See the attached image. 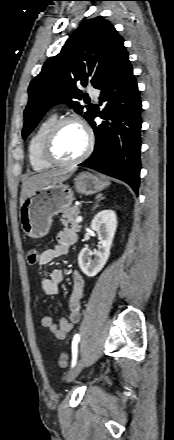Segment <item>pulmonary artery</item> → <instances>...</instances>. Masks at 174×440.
<instances>
[{
    "label": "pulmonary artery",
    "mask_w": 174,
    "mask_h": 440,
    "mask_svg": "<svg viewBox=\"0 0 174 440\" xmlns=\"http://www.w3.org/2000/svg\"><path fill=\"white\" fill-rule=\"evenodd\" d=\"M88 93H89V95H90L92 98L97 99V97H98V91H97L95 88H93V87H89V88H88Z\"/></svg>",
    "instance_id": "e3ab8cb5"
}]
</instances>
